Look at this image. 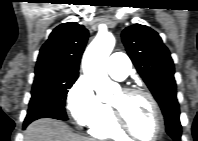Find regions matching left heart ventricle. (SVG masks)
Listing matches in <instances>:
<instances>
[{"instance_id":"1","label":"left heart ventricle","mask_w":198,"mask_h":141,"mask_svg":"<svg viewBox=\"0 0 198 141\" xmlns=\"http://www.w3.org/2000/svg\"><path fill=\"white\" fill-rule=\"evenodd\" d=\"M124 115L131 130L141 139L154 137L157 127L153 107L142 95H125L118 92L110 102Z\"/></svg>"}]
</instances>
